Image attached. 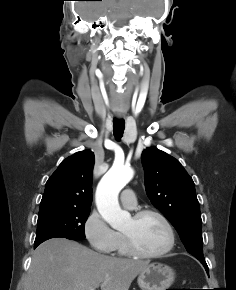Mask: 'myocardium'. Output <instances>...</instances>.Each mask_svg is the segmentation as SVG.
<instances>
[{"mask_svg": "<svg viewBox=\"0 0 236 290\" xmlns=\"http://www.w3.org/2000/svg\"><path fill=\"white\" fill-rule=\"evenodd\" d=\"M148 215L156 216L164 224L168 232V243L165 248L155 253H145L136 247L132 238L129 235L122 233V237H123L127 252L130 255L136 258H141V259L161 258L167 255L174 248L175 241H176L175 231L169 219L162 212L153 208H145V209L138 210L133 214L132 217L135 220H139Z\"/></svg>", "mask_w": 236, "mask_h": 290, "instance_id": "f54148a6", "label": "myocardium"}]
</instances>
